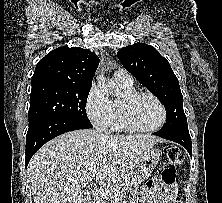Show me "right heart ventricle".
Returning a JSON list of instances; mask_svg holds the SVG:
<instances>
[{
	"mask_svg": "<svg viewBox=\"0 0 222 203\" xmlns=\"http://www.w3.org/2000/svg\"><path fill=\"white\" fill-rule=\"evenodd\" d=\"M119 87L121 88L123 94H129L132 92H135L134 87H125V86H121L119 85ZM120 100L121 98H117L113 103V115H112V121L110 124V128L112 131H116V132H127L130 129L126 126V124L123 121L122 115H121V111H120Z\"/></svg>",
	"mask_w": 222,
	"mask_h": 203,
	"instance_id": "obj_1",
	"label": "right heart ventricle"
}]
</instances>
